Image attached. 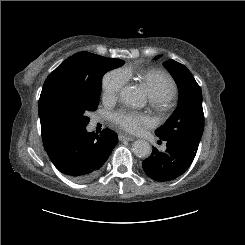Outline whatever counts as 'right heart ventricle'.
<instances>
[{
  "label": "right heart ventricle",
  "instance_id": "e07e8e85",
  "mask_svg": "<svg viewBox=\"0 0 245 245\" xmlns=\"http://www.w3.org/2000/svg\"><path fill=\"white\" fill-rule=\"evenodd\" d=\"M126 78L132 75L129 70L124 71ZM139 77L146 86L151 97L168 93L171 97L174 96L176 85L173 79L160 69H148L139 73Z\"/></svg>",
  "mask_w": 245,
  "mask_h": 245
}]
</instances>
